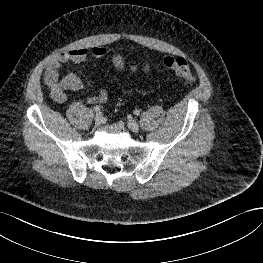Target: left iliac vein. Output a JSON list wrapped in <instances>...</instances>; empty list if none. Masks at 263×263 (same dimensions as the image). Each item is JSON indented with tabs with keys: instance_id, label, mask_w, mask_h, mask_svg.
I'll return each mask as SVG.
<instances>
[{
	"instance_id": "4c4485c4",
	"label": "left iliac vein",
	"mask_w": 263,
	"mask_h": 263,
	"mask_svg": "<svg viewBox=\"0 0 263 263\" xmlns=\"http://www.w3.org/2000/svg\"><path fill=\"white\" fill-rule=\"evenodd\" d=\"M128 128L133 132H138L139 130V124L135 120H129L128 121Z\"/></svg>"
}]
</instances>
